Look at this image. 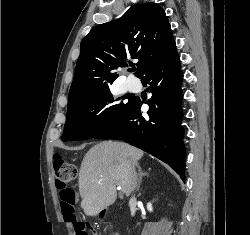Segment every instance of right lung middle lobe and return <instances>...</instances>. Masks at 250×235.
Masks as SVG:
<instances>
[{
	"instance_id": "obj_1",
	"label": "right lung middle lobe",
	"mask_w": 250,
	"mask_h": 235,
	"mask_svg": "<svg viewBox=\"0 0 250 235\" xmlns=\"http://www.w3.org/2000/svg\"><path fill=\"white\" fill-rule=\"evenodd\" d=\"M109 86L68 103L62 141L94 138L110 125L130 104H115Z\"/></svg>"
}]
</instances>
